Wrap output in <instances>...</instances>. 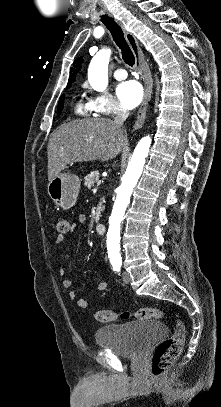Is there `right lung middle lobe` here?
<instances>
[{
	"instance_id": "obj_1",
	"label": "right lung middle lobe",
	"mask_w": 221,
	"mask_h": 407,
	"mask_svg": "<svg viewBox=\"0 0 221 407\" xmlns=\"http://www.w3.org/2000/svg\"><path fill=\"white\" fill-rule=\"evenodd\" d=\"M63 104H64V96H61V98L59 100V104H58L57 115H59L61 113Z\"/></svg>"
}]
</instances>
